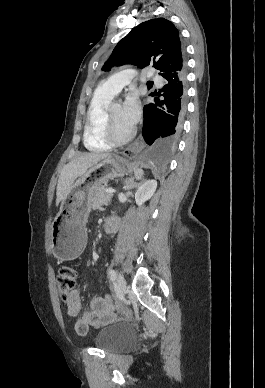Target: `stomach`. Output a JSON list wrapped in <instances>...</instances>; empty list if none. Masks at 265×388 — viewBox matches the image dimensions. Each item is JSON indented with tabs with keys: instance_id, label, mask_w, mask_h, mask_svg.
I'll list each match as a JSON object with an SVG mask.
<instances>
[{
	"instance_id": "stomach-1",
	"label": "stomach",
	"mask_w": 265,
	"mask_h": 388,
	"mask_svg": "<svg viewBox=\"0 0 265 388\" xmlns=\"http://www.w3.org/2000/svg\"><path fill=\"white\" fill-rule=\"evenodd\" d=\"M130 163L118 155H110L83 172L73 183L61 202L59 213L52 223V251L60 260H73L86 244L85 220L93 206L91 195L98 184L123 177Z\"/></svg>"
}]
</instances>
